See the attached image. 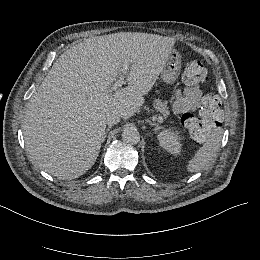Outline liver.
I'll use <instances>...</instances> for the list:
<instances>
[{"mask_svg":"<svg viewBox=\"0 0 260 260\" xmlns=\"http://www.w3.org/2000/svg\"><path fill=\"white\" fill-rule=\"evenodd\" d=\"M174 44L172 37L118 32L65 51L29 99L22 121L32 164L62 180L91 169L105 139L107 115L116 111L128 119L140 110ZM125 60L131 63L128 86L111 94Z\"/></svg>","mask_w":260,"mask_h":260,"instance_id":"6515ba94","label":"liver"}]
</instances>
